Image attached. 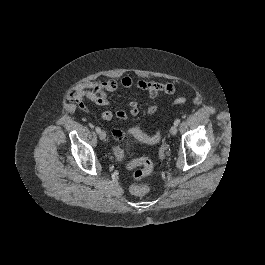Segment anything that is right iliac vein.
<instances>
[{"label":"right iliac vein","instance_id":"obj_1","mask_svg":"<svg viewBox=\"0 0 265 265\" xmlns=\"http://www.w3.org/2000/svg\"><path fill=\"white\" fill-rule=\"evenodd\" d=\"M99 138H100L101 140H104V139L106 138V133H105L104 131H100V133H99Z\"/></svg>","mask_w":265,"mask_h":265}]
</instances>
